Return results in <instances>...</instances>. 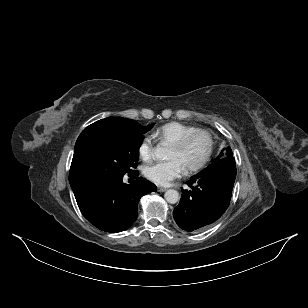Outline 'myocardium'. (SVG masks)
Listing matches in <instances>:
<instances>
[{
  "label": "myocardium",
  "mask_w": 308,
  "mask_h": 308,
  "mask_svg": "<svg viewBox=\"0 0 308 308\" xmlns=\"http://www.w3.org/2000/svg\"><path fill=\"white\" fill-rule=\"evenodd\" d=\"M197 135H205L207 137L208 148H207V151H206L204 157L197 164H195V165L186 169V171L188 173H194V172L200 171L210 162V160L213 156V153H214V149H215V140H214L212 133L210 131L206 130V129H196L194 131L187 133L180 140H178L177 142H175L171 145L172 147H174L178 150H182Z\"/></svg>",
  "instance_id": "myocardium-1"
}]
</instances>
